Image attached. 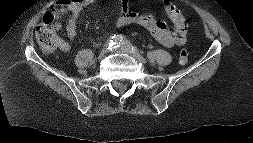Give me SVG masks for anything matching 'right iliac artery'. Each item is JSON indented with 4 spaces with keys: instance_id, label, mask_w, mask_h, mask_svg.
<instances>
[{
    "instance_id": "obj_1",
    "label": "right iliac artery",
    "mask_w": 253,
    "mask_h": 143,
    "mask_svg": "<svg viewBox=\"0 0 253 143\" xmlns=\"http://www.w3.org/2000/svg\"><path fill=\"white\" fill-rule=\"evenodd\" d=\"M123 41V36L122 35H114L110 38L108 41V49L116 48L119 47L121 42Z\"/></svg>"
}]
</instances>
